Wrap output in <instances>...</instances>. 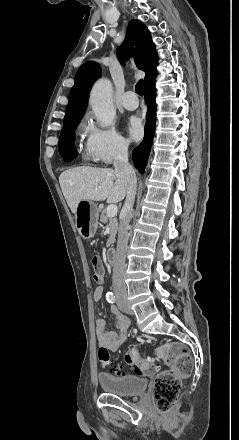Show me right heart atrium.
<instances>
[{"label": "right heart atrium", "instance_id": "obj_1", "mask_svg": "<svg viewBox=\"0 0 239 440\" xmlns=\"http://www.w3.org/2000/svg\"><path fill=\"white\" fill-rule=\"evenodd\" d=\"M84 129V153L89 160L108 165L125 153V141L112 129L98 126L90 117L85 119Z\"/></svg>", "mask_w": 239, "mask_h": 440}]
</instances>
